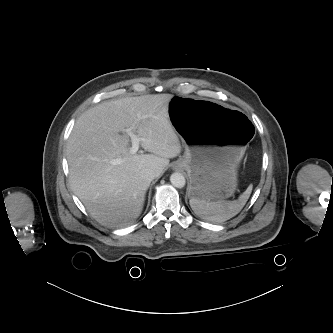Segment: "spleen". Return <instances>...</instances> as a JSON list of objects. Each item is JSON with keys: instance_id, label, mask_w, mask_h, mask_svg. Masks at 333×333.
<instances>
[{"instance_id": "obj_1", "label": "spleen", "mask_w": 333, "mask_h": 333, "mask_svg": "<svg viewBox=\"0 0 333 333\" xmlns=\"http://www.w3.org/2000/svg\"><path fill=\"white\" fill-rule=\"evenodd\" d=\"M251 192L252 185H250L246 191L243 192L238 200L206 201L191 198L189 203L194 213L202 219L220 223L237 215L246 204Z\"/></svg>"}]
</instances>
